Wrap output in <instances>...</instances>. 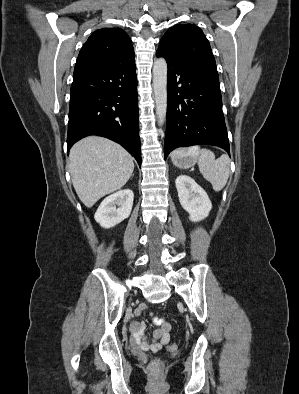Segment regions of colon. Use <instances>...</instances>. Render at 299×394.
Returning <instances> with one entry per match:
<instances>
[{"instance_id":"5ec220e1","label":"colon","mask_w":299,"mask_h":394,"mask_svg":"<svg viewBox=\"0 0 299 394\" xmlns=\"http://www.w3.org/2000/svg\"><path fill=\"white\" fill-rule=\"evenodd\" d=\"M174 347H175L174 344H172V345L170 346V348H174ZM161 365H162V363H161L160 360H153V361H151V363H150V365H149V368H150V370H151L152 372H157V371H159V369L161 368Z\"/></svg>"}]
</instances>
